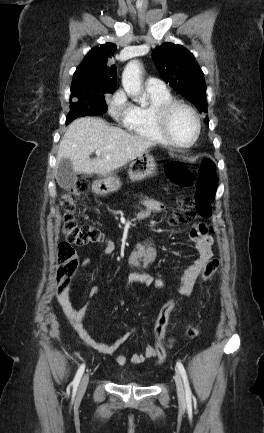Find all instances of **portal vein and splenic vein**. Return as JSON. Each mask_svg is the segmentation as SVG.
Here are the masks:
<instances>
[{
    "label": "portal vein and splenic vein",
    "mask_w": 264,
    "mask_h": 433,
    "mask_svg": "<svg viewBox=\"0 0 264 433\" xmlns=\"http://www.w3.org/2000/svg\"><path fill=\"white\" fill-rule=\"evenodd\" d=\"M95 153H96L97 156H100V154H101V152L99 150H96Z\"/></svg>",
    "instance_id": "1"
}]
</instances>
